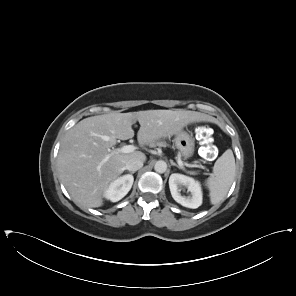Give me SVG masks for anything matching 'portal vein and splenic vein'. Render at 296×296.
I'll return each mask as SVG.
<instances>
[{"instance_id": "portal-vein-and-splenic-vein-1", "label": "portal vein and splenic vein", "mask_w": 296, "mask_h": 296, "mask_svg": "<svg viewBox=\"0 0 296 296\" xmlns=\"http://www.w3.org/2000/svg\"><path fill=\"white\" fill-rule=\"evenodd\" d=\"M134 150H135V146H133V145H125V146H123V147H121V148H117V149H115L113 152H115V153H124V154H126V153H131V152H134ZM109 155L105 158V160H107V159H109ZM178 164L183 168L184 166H187V167H191L189 164H187V163H184L183 161H181L180 159H178Z\"/></svg>"}]
</instances>
